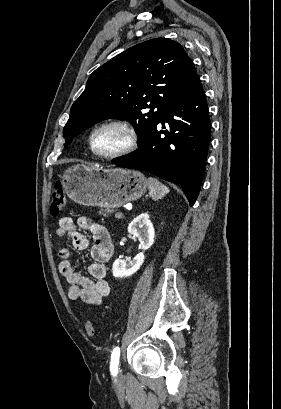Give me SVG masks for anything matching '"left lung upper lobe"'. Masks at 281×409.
<instances>
[{
	"label": "left lung upper lobe",
	"instance_id": "5c2ea615",
	"mask_svg": "<svg viewBox=\"0 0 281 409\" xmlns=\"http://www.w3.org/2000/svg\"><path fill=\"white\" fill-rule=\"evenodd\" d=\"M196 75L183 47L170 39L127 49L90 75L64 127L65 147L82 130L108 118L130 121L141 142Z\"/></svg>",
	"mask_w": 281,
	"mask_h": 409
}]
</instances>
